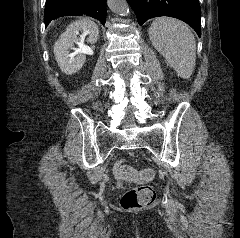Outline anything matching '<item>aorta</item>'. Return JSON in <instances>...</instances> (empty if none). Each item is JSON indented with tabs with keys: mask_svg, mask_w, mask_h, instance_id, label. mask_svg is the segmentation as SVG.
<instances>
[{
	"mask_svg": "<svg viewBox=\"0 0 240 238\" xmlns=\"http://www.w3.org/2000/svg\"><path fill=\"white\" fill-rule=\"evenodd\" d=\"M107 4L111 11L116 14L125 16L129 13V6L126 0H108Z\"/></svg>",
	"mask_w": 240,
	"mask_h": 238,
	"instance_id": "obj_1",
	"label": "aorta"
}]
</instances>
